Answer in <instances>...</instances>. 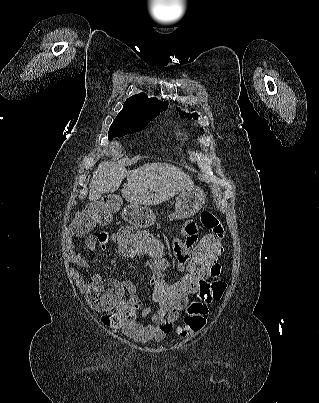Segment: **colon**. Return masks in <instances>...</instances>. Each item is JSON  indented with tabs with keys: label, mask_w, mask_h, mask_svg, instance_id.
<instances>
[{
	"label": "colon",
	"mask_w": 319,
	"mask_h": 403,
	"mask_svg": "<svg viewBox=\"0 0 319 403\" xmlns=\"http://www.w3.org/2000/svg\"><path fill=\"white\" fill-rule=\"evenodd\" d=\"M94 202H87V210L74 219V235L82 236L97 224H107L121 208L119 192H105L102 201L97 198ZM200 218L205 227L214 231H209V238H199L189 250L192 259L182 268L177 282H169L163 276L166 268H173V259L165 252L168 248L165 234L146 233L141 226H116L115 234L107 238V243H111V249L120 254L121 260H145L146 268H157L151 283L150 303L156 304V313H182L181 321L176 325L177 341H188L190 336L204 333L212 316L211 305L222 301L227 292L226 281L214 283L210 276V267L221 264L227 250L226 231H223L225 219L211 212H203ZM200 283L205 285L201 292L204 296L188 303ZM186 304L187 308L182 310Z\"/></svg>",
	"instance_id": "1"
}]
</instances>
